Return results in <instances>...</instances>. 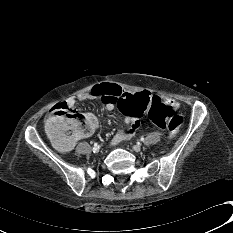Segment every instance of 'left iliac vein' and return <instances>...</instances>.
<instances>
[{"label": "left iliac vein", "mask_w": 233, "mask_h": 233, "mask_svg": "<svg viewBox=\"0 0 233 233\" xmlns=\"http://www.w3.org/2000/svg\"><path fill=\"white\" fill-rule=\"evenodd\" d=\"M132 149L135 151V152H141L142 148L139 146V145H134L132 147Z\"/></svg>", "instance_id": "1"}]
</instances>
